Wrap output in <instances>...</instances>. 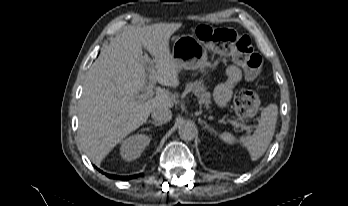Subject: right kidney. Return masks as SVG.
Returning a JSON list of instances; mask_svg holds the SVG:
<instances>
[{"mask_svg": "<svg viewBox=\"0 0 348 206\" xmlns=\"http://www.w3.org/2000/svg\"><path fill=\"white\" fill-rule=\"evenodd\" d=\"M150 138L145 134H136L126 138L120 147V155L126 161H132L141 156L149 145Z\"/></svg>", "mask_w": 348, "mask_h": 206, "instance_id": "right-kidney-1", "label": "right kidney"}]
</instances>
